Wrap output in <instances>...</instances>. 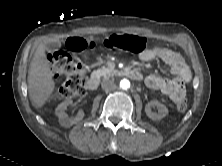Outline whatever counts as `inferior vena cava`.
<instances>
[{
  "mask_svg": "<svg viewBox=\"0 0 222 166\" xmlns=\"http://www.w3.org/2000/svg\"><path fill=\"white\" fill-rule=\"evenodd\" d=\"M101 87L105 91H112L116 89V85L113 80L111 79H104L101 83Z\"/></svg>",
  "mask_w": 222,
  "mask_h": 166,
  "instance_id": "obj_1",
  "label": "inferior vena cava"
}]
</instances>
